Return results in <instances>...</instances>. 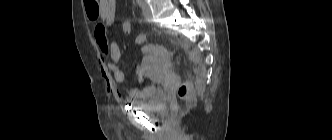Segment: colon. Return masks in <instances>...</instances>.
<instances>
[{
  "instance_id": "5ec220e1",
  "label": "colon",
  "mask_w": 332,
  "mask_h": 140,
  "mask_svg": "<svg viewBox=\"0 0 332 140\" xmlns=\"http://www.w3.org/2000/svg\"><path fill=\"white\" fill-rule=\"evenodd\" d=\"M85 8L89 16L96 18L99 13V3L98 0H84ZM119 31L128 35L132 31V23L129 20H123L119 25ZM190 93V84L187 82L182 83L178 88V96L181 99H188Z\"/></svg>"
}]
</instances>
